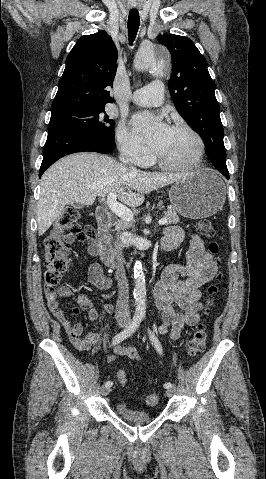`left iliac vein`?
I'll list each match as a JSON object with an SVG mask.
<instances>
[{
    "mask_svg": "<svg viewBox=\"0 0 266 479\" xmlns=\"http://www.w3.org/2000/svg\"><path fill=\"white\" fill-rule=\"evenodd\" d=\"M174 392H175L174 388H168V389L166 390V395H167L168 397H171V396H173Z\"/></svg>",
    "mask_w": 266,
    "mask_h": 479,
    "instance_id": "obj_1",
    "label": "left iliac vein"
}]
</instances>
